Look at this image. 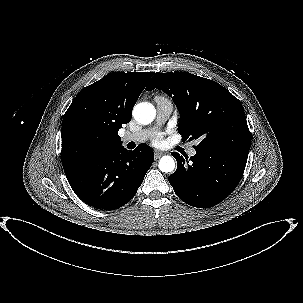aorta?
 Masks as SVG:
<instances>
[{"label":"aorta","mask_w":303,"mask_h":303,"mask_svg":"<svg viewBox=\"0 0 303 303\" xmlns=\"http://www.w3.org/2000/svg\"><path fill=\"white\" fill-rule=\"evenodd\" d=\"M156 115L154 106L147 102L137 104L133 109V116L140 124L151 123ZM175 168V161L171 156H163L159 161V169L162 172H172Z\"/></svg>","instance_id":"762f6f07"}]
</instances>
